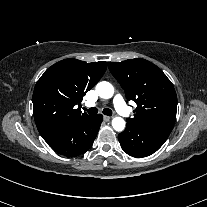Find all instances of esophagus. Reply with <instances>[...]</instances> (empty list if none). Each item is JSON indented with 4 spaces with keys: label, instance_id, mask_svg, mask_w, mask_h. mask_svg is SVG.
<instances>
[{
    "label": "esophagus",
    "instance_id": "34e87169",
    "mask_svg": "<svg viewBox=\"0 0 207 207\" xmlns=\"http://www.w3.org/2000/svg\"><path fill=\"white\" fill-rule=\"evenodd\" d=\"M103 119H104V121H109L111 119V117L110 116H107V115H104L103 116Z\"/></svg>",
    "mask_w": 207,
    "mask_h": 207
}]
</instances>
